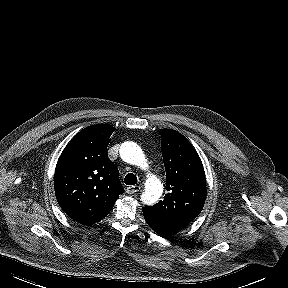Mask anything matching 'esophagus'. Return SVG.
Returning <instances> with one entry per match:
<instances>
[{
	"instance_id": "obj_1",
	"label": "esophagus",
	"mask_w": 288,
	"mask_h": 288,
	"mask_svg": "<svg viewBox=\"0 0 288 288\" xmlns=\"http://www.w3.org/2000/svg\"><path fill=\"white\" fill-rule=\"evenodd\" d=\"M139 190H140V186H138V185H132V186H128L126 188V192L128 194H134V193L138 192Z\"/></svg>"
}]
</instances>
